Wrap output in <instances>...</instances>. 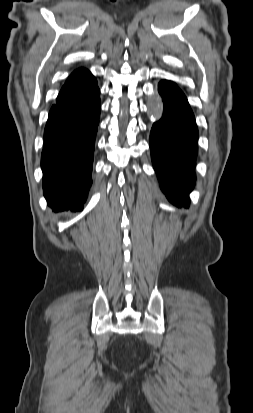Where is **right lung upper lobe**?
<instances>
[{
    "mask_svg": "<svg viewBox=\"0 0 253 413\" xmlns=\"http://www.w3.org/2000/svg\"><path fill=\"white\" fill-rule=\"evenodd\" d=\"M97 81L95 77L86 69L80 68L75 70L67 79L62 87L57 102L73 98L80 93L90 89Z\"/></svg>",
    "mask_w": 253,
    "mask_h": 413,
    "instance_id": "1",
    "label": "right lung upper lobe"
}]
</instances>
